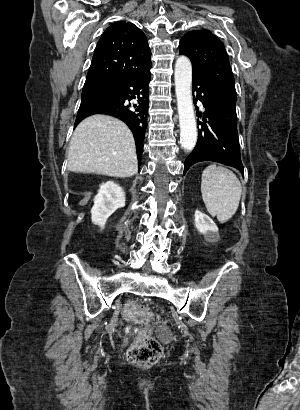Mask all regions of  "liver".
Here are the masks:
<instances>
[{
  "mask_svg": "<svg viewBox=\"0 0 300 410\" xmlns=\"http://www.w3.org/2000/svg\"><path fill=\"white\" fill-rule=\"evenodd\" d=\"M68 170L111 177L135 175L138 162L130 129L119 119L106 115L84 119L70 141Z\"/></svg>",
  "mask_w": 300,
  "mask_h": 410,
  "instance_id": "liver-1",
  "label": "liver"
}]
</instances>
